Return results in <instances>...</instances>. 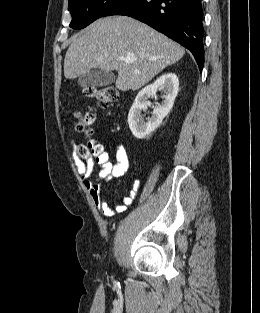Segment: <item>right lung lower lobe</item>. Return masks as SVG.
Segmentation results:
<instances>
[{"label": "right lung lower lobe", "instance_id": "obj_1", "mask_svg": "<svg viewBox=\"0 0 260 313\" xmlns=\"http://www.w3.org/2000/svg\"><path fill=\"white\" fill-rule=\"evenodd\" d=\"M111 15L130 16L162 32L189 49L203 69L201 0H119L104 14Z\"/></svg>", "mask_w": 260, "mask_h": 313}]
</instances>
